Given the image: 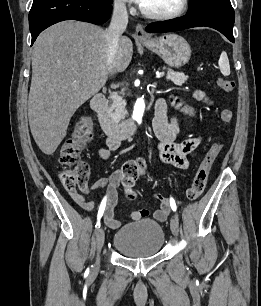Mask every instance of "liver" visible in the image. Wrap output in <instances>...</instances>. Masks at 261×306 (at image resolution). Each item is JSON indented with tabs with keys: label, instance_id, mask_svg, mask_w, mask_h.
Returning <instances> with one entry per match:
<instances>
[{
	"label": "liver",
	"instance_id": "6515ba94",
	"mask_svg": "<svg viewBox=\"0 0 261 306\" xmlns=\"http://www.w3.org/2000/svg\"><path fill=\"white\" fill-rule=\"evenodd\" d=\"M133 45L121 36L114 71L131 62ZM106 30L80 21H62L43 31L32 53L28 118L32 136L46 155L64 139L71 117L106 83Z\"/></svg>",
	"mask_w": 261,
	"mask_h": 306
}]
</instances>
